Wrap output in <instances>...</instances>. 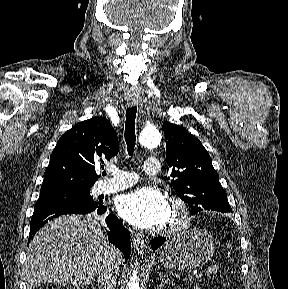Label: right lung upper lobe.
I'll return each instance as SVG.
<instances>
[{
  "label": "right lung upper lobe",
  "instance_id": "1",
  "mask_svg": "<svg viewBox=\"0 0 288 289\" xmlns=\"http://www.w3.org/2000/svg\"><path fill=\"white\" fill-rule=\"evenodd\" d=\"M118 151L117 135L106 118L80 122L58 140L41 189L91 187L98 179L95 167Z\"/></svg>",
  "mask_w": 288,
  "mask_h": 289
}]
</instances>
